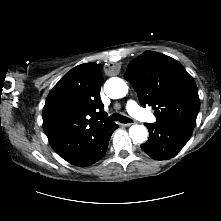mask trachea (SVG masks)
Instances as JSON below:
<instances>
[{
	"mask_svg": "<svg viewBox=\"0 0 221 221\" xmlns=\"http://www.w3.org/2000/svg\"><path fill=\"white\" fill-rule=\"evenodd\" d=\"M107 120H110V121H119L121 123H130L132 122L131 119L127 118L126 116H122L120 114H117V113H114L112 115H110Z\"/></svg>",
	"mask_w": 221,
	"mask_h": 221,
	"instance_id": "3493384b",
	"label": "trachea"
}]
</instances>
